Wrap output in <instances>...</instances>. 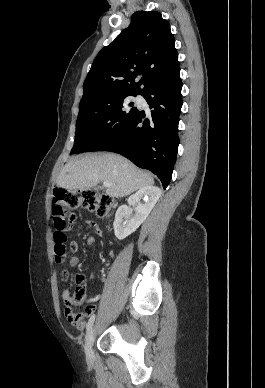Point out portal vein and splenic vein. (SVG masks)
Here are the masks:
<instances>
[{
    "label": "portal vein and splenic vein",
    "mask_w": 265,
    "mask_h": 388,
    "mask_svg": "<svg viewBox=\"0 0 265 388\" xmlns=\"http://www.w3.org/2000/svg\"><path fill=\"white\" fill-rule=\"evenodd\" d=\"M103 186H106V188H109V186H114V184H111V182H103Z\"/></svg>",
    "instance_id": "obj_1"
}]
</instances>
